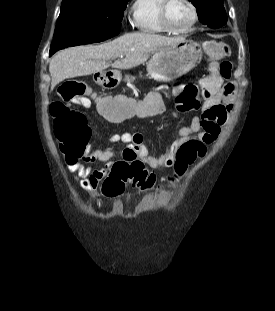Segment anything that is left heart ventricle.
<instances>
[{
	"mask_svg": "<svg viewBox=\"0 0 275 311\" xmlns=\"http://www.w3.org/2000/svg\"><path fill=\"white\" fill-rule=\"evenodd\" d=\"M169 21L173 27H186L192 19V10L185 0H173L168 9Z\"/></svg>",
	"mask_w": 275,
	"mask_h": 311,
	"instance_id": "b2bd125f",
	"label": "left heart ventricle"
}]
</instances>
